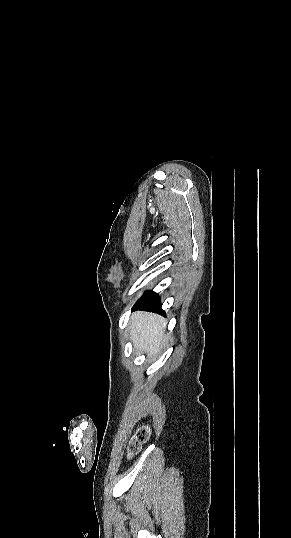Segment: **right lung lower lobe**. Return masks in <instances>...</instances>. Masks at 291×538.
I'll return each mask as SVG.
<instances>
[{
	"label": "right lung lower lobe",
	"mask_w": 291,
	"mask_h": 538,
	"mask_svg": "<svg viewBox=\"0 0 291 538\" xmlns=\"http://www.w3.org/2000/svg\"><path fill=\"white\" fill-rule=\"evenodd\" d=\"M161 306V299L159 295L156 292L150 290L146 291L143 294V296L135 303L132 310H146L165 314Z\"/></svg>",
	"instance_id": "1"
}]
</instances>
